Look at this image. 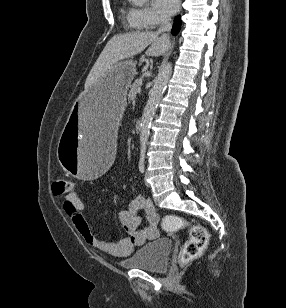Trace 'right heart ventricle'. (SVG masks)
Wrapping results in <instances>:
<instances>
[{"label":"right heart ventricle","instance_id":"e07e8e85","mask_svg":"<svg viewBox=\"0 0 286 308\" xmlns=\"http://www.w3.org/2000/svg\"><path fill=\"white\" fill-rule=\"evenodd\" d=\"M120 12L127 28L134 31H140L143 29L137 21L136 9L124 4L121 6Z\"/></svg>","mask_w":286,"mask_h":308}]
</instances>
